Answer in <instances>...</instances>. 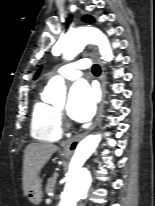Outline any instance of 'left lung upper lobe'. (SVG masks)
<instances>
[{"label": "left lung upper lobe", "mask_w": 155, "mask_h": 206, "mask_svg": "<svg viewBox=\"0 0 155 206\" xmlns=\"http://www.w3.org/2000/svg\"><path fill=\"white\" fill-rule=\"evenodd\" d=\"M83 20L86 21V22H93V18L90 17V16H85V17L83 18ZM39 72H40V69H39L38 72L36 73L34 79H36V78L38 77Z\"/></svg>", "instance_id": "left-lung-upper-lobe-1"}]
</instances>
